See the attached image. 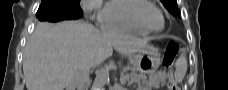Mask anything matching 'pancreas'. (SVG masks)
<instances>
[{
	"mask_svg": "<svg viewBox=\"0 0 228 90\" xmlns=\"http://www.w3.org/2000/svg\"><path fill=\"white\" fill-rule=\"evenodd\" d=\"M125 80H128L130 84L132 82L137 83L140 90L150 89L152 87L159 88L160 86H163L166 83V80L164 77H160L156 75H151L149 78H147L145 75L130 74L125 77Z\"/></svg>",
	"mask_w": 228,
	"mask_h": 90,
	"instance_id": "obj_1",
	"label": "pancreas"
}]
</instances>
